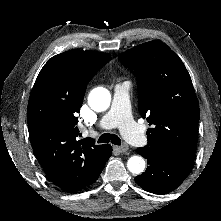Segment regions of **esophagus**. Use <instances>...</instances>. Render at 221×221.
Masks as SVG:
<instances>
[{
  "mask_svg": "<svg viewBox=\"0 0 221 221\" xmlns=\"http://www.w3.org/2000/svg\"><path fill=\"white\" fill-rule=\"evenodd\" d=\"M114 149L117 150L120 153H125L128 151L129 147L127 144H123L121 146H114Z\"/></svg>",
  "mask_w": 221,
  "mask_h": 221,
  "instance_id": "esophagus-1",
  "label": "esophagus"
}]
</instances>
